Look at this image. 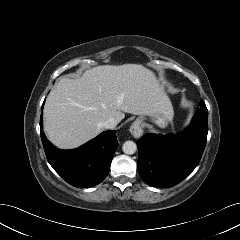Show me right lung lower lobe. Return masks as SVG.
I'll return each instance as SVG.
<instances>
[{"mask_svg":"<svg viewBox=\"0 0 240 240\" xmlns=\"http://www.w3.org/2000/svg\"><path fill=\"white\" fill-rule=\"evenodd\" d=\"M40 135L50 165L66 182L79 188L95 186L105 179L118 147L116 131H105L77 149H57L44 135L42 113Z\"/></svg>","mask_w":240,"mask_h":240,"instance_id":"obj_1","label":"right lung lower lobe"}]
</instances>
